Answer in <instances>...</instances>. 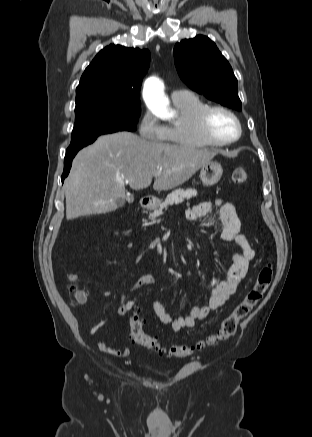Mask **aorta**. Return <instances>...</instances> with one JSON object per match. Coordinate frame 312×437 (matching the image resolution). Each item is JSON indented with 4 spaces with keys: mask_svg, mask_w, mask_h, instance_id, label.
Masks as SVG:
<instances>
[{
    "mask_svg": "<svg viewBox=\"0 0 312 437\" xmlns=\"http://www.w3.org/2000/svg\"><path fill=\"white\" fill-rule=\"evenodd\" d=\"M164 86L156 77H150L146 80L143 89V97L151 112L163 119L170 117L168 108V99L164 94Z\"/></svg>",
    "mask_w": 312,
    "mask_h": 437,
    "instance_id": "1",
    "label": "aorta"
}]
</instances>
